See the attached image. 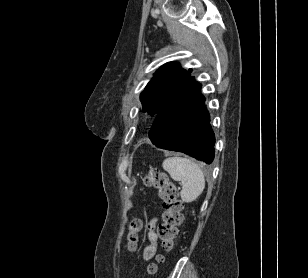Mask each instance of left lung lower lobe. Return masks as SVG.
I'll use <instances>...</instances> for the list:
<instances>
[{
	"label": "left lung lower lobe",
	"mask_w": 308,
	"mask_h": 278,
	"mask_svg": "<svg viewBox=\"0 0 308 278\" xmlns=\"http://www.w3.org/2000/svg\"><path fill=\"white\" fill-rule=\"evenodd\" d=\"M204 103L201 85L190 77L156 115L149 131L152 143L210 164L214 159L215 135Z\"/></svg>",
	"instance_id": "left-lung-lower-lobe-1"
}]
</instances>
